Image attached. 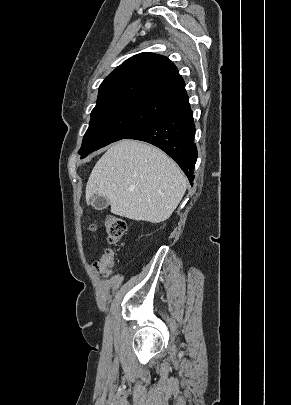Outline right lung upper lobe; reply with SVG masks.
I'll return each instance as SVG.
<instances>
[{"label": "right lung upper lobe", "instance_id": "right-lung-upper-lobe-1", "mask_svg": "<svg viewBox=\"0 0 291 405\" xmlns=\"http://www.w3.org/2000/svg\"><path fill=\"white\" fill-rule=\"evenodd\" d=\"M185 93L176 66L165 56L144 52L127 59L105 78L96 106L125 99L170 104Z\"/></svg>", "mask_w": 291, "mask_h": 405}]
</instances>
